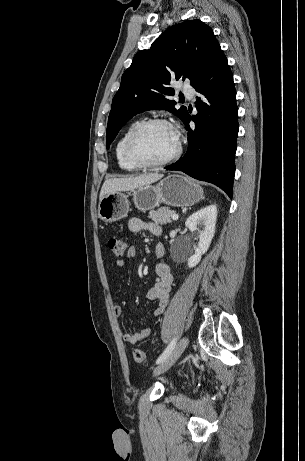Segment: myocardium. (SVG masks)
Returning a JSON list of instances; mask_svg holds the SVG:
<instances>
[{
  "instance_id": "obj_1",
  "label": "myocardium",
  "mask_w": 305,
  "mask_h": 461,
  "mask_svg": "<svg viewBox=\"0 0 305 461\" xmlns=\"http://www.w3.org/2000/svg\"><path fill=\"white\" fill-rule=\"evenodd\" d=\"M153 125H163V126H166V127L170 128L174 132V129H173L172 125L165 119L151 118V119H147V120L139 122L134 127L132 132L129 134V136H128L127 140H126V144H125V155H126L127 159L129 160L130 163L137 166L138 168L154 169V168L163 167V166H166V165L172 163L173 161L177 160L181 155L182 146H181L180 141L177 138H176L177 146H176L175 151L169 157H167V158H165V159H163L161 161L148 162V161H145V160L141 159L136 154L135 146H136V142H137L139 136L141 135V133L146 128H148L150 126H153Z\"/></svg>"
}]
</instances>
